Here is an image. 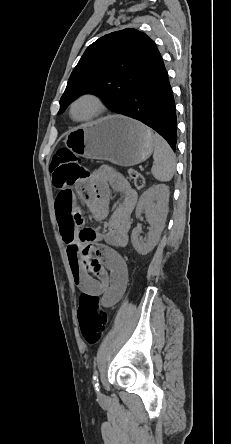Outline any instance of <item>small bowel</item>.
Listing matches in <instances>:
<instances>
[{
  "label": "small bowel",
  "mask_w": 231,
  "mask_h": 444,
  "mask_svg": "<svg viewBox=\"0 0 231 444\" xmlns=\"http://www.w3.org/2000/svg\"><path fill=\"white\" fill-rule=\"evenodd\" d=\"M58 187L56 218L74 281L82 292L99 297L103 306L110 307L123 296L128 284V267L117 249L128 243L130 217L137 194L110 166L99 167L88 180L79 183L77 192L93 218L104 220L108 217L105 243H97L95 234L87 236L81 231L75 193L69 186ZM111 189L121 193L122 200L110 214Z\"/></svg>",
  "instance_id": "c3829d8e"
}]
</instances>
